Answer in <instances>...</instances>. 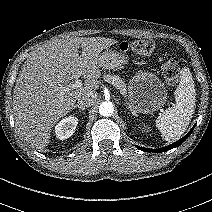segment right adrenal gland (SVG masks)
<instances>
[{
  "label": "right adrenal gland",
  "mask_w": 212,
  "mask_h": 212,
  "mask_svg": "<svg viewBox=\"0 0 212 212\" xmlns=\"http://www.w3.org/2000/svg\"><path fill=\"white\" fill-rule=\"evenodd\" d=\"M73 108H79V109H81L82 111H84V110L86 109V107L81 106V105H78V104L74 105Z\"/></svg>",
  "instance_id": "obj_1"
}]
</instances>
